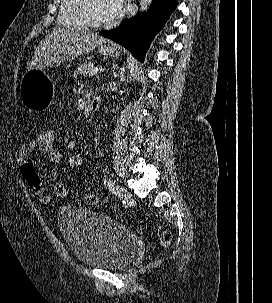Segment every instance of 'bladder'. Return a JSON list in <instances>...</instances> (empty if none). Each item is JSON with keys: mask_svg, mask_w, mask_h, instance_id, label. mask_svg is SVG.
<instances>
[{"mask_svg": "<svg viewBox=\"0 0 272 303\" xmlns=\"http://www.w3.org/2000/svg\"><path fill=\"white\" fill-rule=\"evenodd\" d=\"M57 225L77 260L99 269H122L136 252L135 236L113 218L76 206L62 208Z\"/></svg>", "mask_w": 272, "mask_h": 303, "instance_id": "1", "label": "bladder"}]
</instances>
